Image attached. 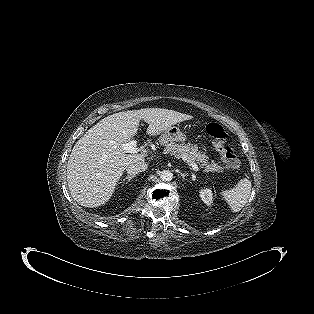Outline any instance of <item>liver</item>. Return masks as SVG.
I'll return each instance as SVG.
<instances>
[{
	"label": "liver",
	"mask_w": 314,
	"mask_h": 314,
	"mask_svg": "<svg viewBox=\"0 0 314 314\" xmlns=\"http://www.w3.org/2000/svg\"><path fill=\"white\" fill-rule=\"evenodd\" d=\"M193 117L162 108H145L109 115L90 128L74 145L67 164L71 196L84 207H98L112 197L126 167L144 161L147 152L127 154L123 144L148 124L147 134L156 136Z\"/></svg>",
	"instance_id": "obj_1"
}]
</instances>
